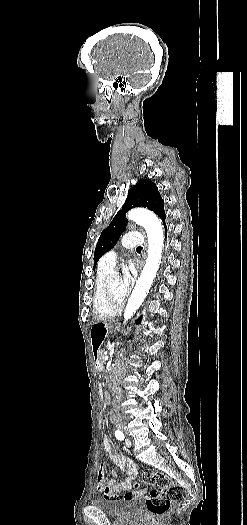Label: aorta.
I'll return each mask as SVG.
<instances>
[{
    "label": "aorta",
    "instance_id": "1",
    "mask_svg": "<svg viewBox=\"0 0 247 525\" xmlns=\"http://www.w3.org/2000/svg\"><path fill=\"white\" fill-rule=\"evenodd\" d=\"M128 219L145 228L148 237V257L125 308L124 323L134 315L148 294L161 263L164 245L162 225L154 213L137 208L128 213Z\"/></svg>",
    "mask_w": 247,
    "mask_h": 525
}]
</instances>
